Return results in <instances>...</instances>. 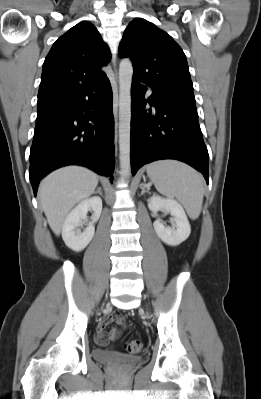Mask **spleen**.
I'll return each instance as SVG.
<instances>
[{"instance_id": "1", "label": "spleen", "mask_w": 261, "mask_h": 399, "mask_svg": "<svg viewBox=\"0 0 261 399\" xmlns=\"http://www.w3.org/2000/svg\"><path fill=\"white\" fill-rule=\"evenodd\" d=\"M147 175L158 192L180 201L191 219L199 217L204 196L200 173L179 161L160 160L147 166Z\"/></svg>"}]
</instances>
